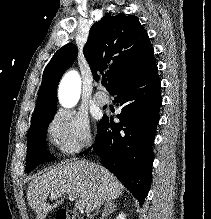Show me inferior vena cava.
<instances>
[{"mask_svg":"<svg viewBox=\"0 0 211 219\" xmlns=\"http://www.w3.org/2000/svg\"><path fill=\"white\" fill-rule=\"evenodd\" d=\"M101 205H102V201H101V200L95 202V210H96V214H98Z\"/></svg>","mask_w":211,"mask_h":219,"instance_id":"obj_1","label":"inferior vena cava"}]
</instances>
